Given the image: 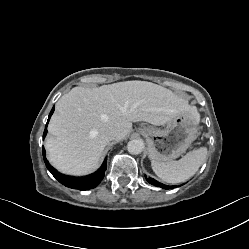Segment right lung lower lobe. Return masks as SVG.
Instances as JSON below:
<instances>
[{
  "label": "right lung lower lobe",
  "instance_id": "98d812e1",
  "mask_svg": "<svg viewBox=\"0 0 249 249\" xmlns=\"http://www.w3.org/2000/svg\"><path fill=\"white\" fill-rule=\"evenodd\" d=\"M54 112V107L52 108L49 117H48V121L47 124L49 122V119L51 117V115ZM47 124L44 130V134H43V138L46 136L47 134ZM43 156H44V161L46 164V167L48 168V170L51 172V174L63 185L73 188V189H78V190H89L92 188H95L103 179L105 171H106V165H107V158L104 160L102 166L100 167V169L98 171H96L95 173L86 176V177H70V176H66L63 175L61 173H59L56 169H54L52 166H50V164L48 163L46 157H45V150L43 147Z\"/></svg>",
  "mask_w": 249,
  "mask_h": 249
}]
</instances>
